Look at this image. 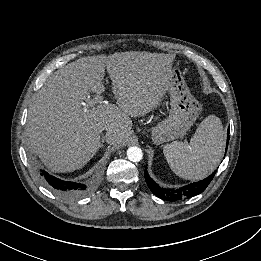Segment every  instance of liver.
Returning a JSON list of instances; mask_svg holds the SVG:
<instances>
[{"label": "liver", "mask_w": 261, "mask_h": 261, "mask_svg": "<svg viewBox=\"0 0 261 261\" xmlns=\"http://www.w3.org/2000/svg\"><path fill=\"white\" fill-rule=\"evenodd\" d=\"M175 56L150 52H116L80 58L52 74L34 96L26 123L27 145L55 172L85 166L101 147L100 133L111 145L125 143L130 117L155 109L168 91ZM105 69L116 105H88L90 92L102 93Z\"/></svg>", "instance_id": "obj_1"}]
</instances>
